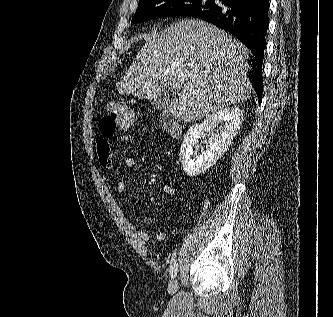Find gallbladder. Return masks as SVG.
I'll return each instance as SVG.
<instances>
[{
	"label": "gallbladder",
	"instance_id": "bac80fb5",
	"mask_svg": "<svg viewBox=\"0 0 333 317\" xmlns=\"http://www.w3.org/2000/svg\"><path fill=\"white\" fill-rule=\"evenodd\" d=\"M171 98L169 96H158L151 99V104L156 110H165L170 106Z\"/></svg>",
	"mask_w": 333,
	"mask_h": 317
}]
</instances>
